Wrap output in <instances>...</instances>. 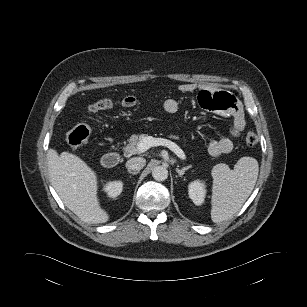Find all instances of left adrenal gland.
<instances>
[{
    "mask_svg": "<svg viewBox=\"0 0 307 307\" xmlns=\"http://www.w3.org/2000/svg\"><path fill=\"white\" fill-rule=\"evenodd\" d=\"M191 167H192L191 165H188L186 167H183L182 169L176 168V172L178 173L179 177H182L185 174V171H187Z\"/></svg>",
    "mask_w": 307,
    "mask_h": 307,
    "instance_id": "obj_1",
    "label": "left adrenal gland"
}]
</instances>
